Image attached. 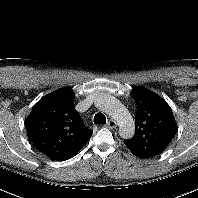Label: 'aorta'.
Instances as JSON below:
<instances>
[{
	"label": "aorta",
	"mask_w": 198,
	"mask_h": 198,
	"mask_svg": "<svg viewBox=\"0 0 198 198\" xmlns=\"http://www.w3.org/2000/svg\"><path fill=\"white\" fill-rule=\"evenodd\" d=\"M97 106L109 114L119 126V134L124 139H129L134 135L135 124L130 112L113 96L103 94L96 100Z\"/></svg>",
	"instance_id": "aorta-1"
}]
</instances>
